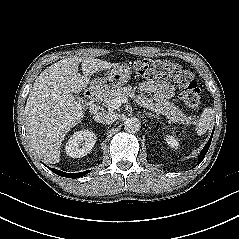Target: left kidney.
<instances>
[{"instance_id":"left-kidney-1","label":"left kidney","mask_w":239,"mask_h":239,"mask_svg":"<svg viewBox=\"0 0 239 239\" xmlns=\"http://www.w3.org/2000/svg\"><path fill=\"white\" fill-rule=\"evenodd\" d=\"M165 140H166L167 144H168L170 147L176 148V149L178 148L179 142H178V140H177L175 137H173V136H167V137L165 138Z\"/></svg>"}]
</instances>
